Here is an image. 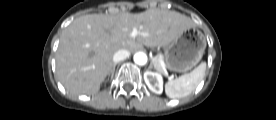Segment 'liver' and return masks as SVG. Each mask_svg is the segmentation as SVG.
Returning a JSON list of instances; mask_svg holds the SVG:
<instances>
[{"instance_id":"obj_1","label":"liver","mask_w":276,"mask_h":120,"mask_svg":"<svg viewBox=\"0 0 276 120\" xmlns=\"http://www.w3.org/2000/svg\"><path fill=\"white\" fill-rule=\"evenodd\" d=\"M191 27L194 23L189 17L159 8L138 14L81 16L62 32L56 55L58 79L72 94L94 95L111 72L118 50L165 47ZM133 28L139 34L130 37Z\"/></svg>"}]
</instances>
